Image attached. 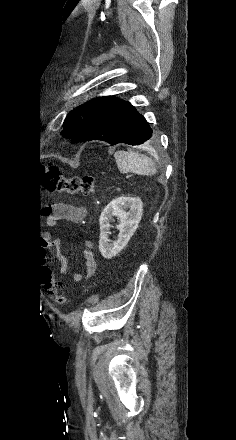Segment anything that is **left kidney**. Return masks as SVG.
Wrapping results in <instances>:
<instances>
[{
    "instance_id": "left-kidney-1",
    "label": "left kidney",
    "mask_w": 236,
    "mask_h": 440,
    "mask_svg": "<svg viewBox=\"0 0 236 440\" xmlns=\"http://www.w3.org/2000/svg\"><path fill=\"white\" fill-rule=\"evenodd\" d=\"M143 212V203L139 197L121 196L113 199L102 211L99 218V250L105 259H111L123 250L138 228ZM113 217H117L116 228L119 234L110 241L109 234Z\"/></svg>"
}]
</instances>
